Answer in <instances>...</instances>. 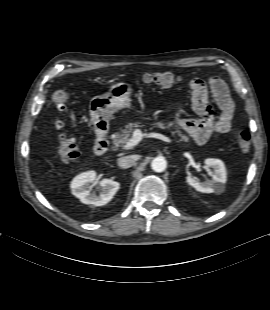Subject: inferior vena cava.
<instances>
[{"instance_id":"602c4592","label":"inferior vena cava","mask_w":270,"mask_h":310,"mask_svg":"<svg viewBox=\"0 0 270 310\" xmlns=\"http://www.w3.org/2000/svg\"><path fill=\"white\" fill-rule=\"evenodd\" d=\"M134 162H135V158L133 155L123 156V157L118 158L117 160L118 166L123 169H127L131 167L134 164Z\"/></svg>"}]
</instances>
